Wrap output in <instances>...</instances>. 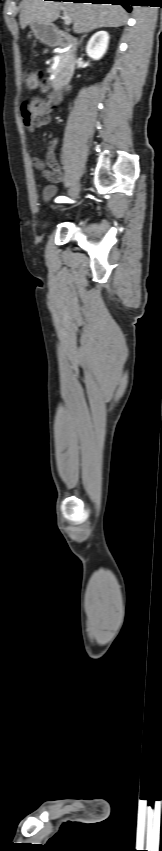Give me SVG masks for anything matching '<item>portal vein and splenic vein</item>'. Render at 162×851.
Instances as JSON below:
<instances>
[{
    "label": "portal vein and splenic vein",
    "instance_id": "portal-vein-and-splenic-vein-1",
    "mask_svg": "<svg viewBox=\"0 0 162 851\" xmlns=\"http://www.w3.org/2000/svg\"><path fill=\"white\" fill-rule=\"evenodd\" d=\"M61 10H63V20H64L65 25H70L72 23L71 16L67 13L65 8L62 7Z\"/></svg>",
    "mask_w": 162,
    "mask_h": 851
}]
</instances>
